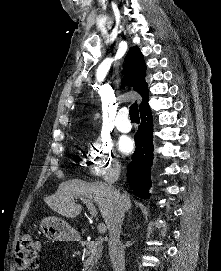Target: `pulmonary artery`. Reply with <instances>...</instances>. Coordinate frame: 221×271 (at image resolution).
<instances>
[{
	"mask_svg": "<svg viewBox=\"0 0 221 271\" xmlns=\"http://www.w3.org/2000/svg\"><path fill=\"white\" fill-rule=\"evenodd\" d=\"M127 116H128L127 112H113V117H115L114 124L123 133L129 132L128 128L122 127L130 125L131 118Z\"/></svg>",
	"mask_w": 221,
	"mask_h": 271,
	"instance_id": "e3ab8cb5",
	"label": "pulmonary artery"
}]
</instances>
